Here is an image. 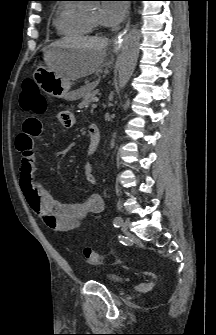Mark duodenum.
<instances>
[{
    "label": "duodenum",
    "instance_id": "duodenum-1",
    "mask_svg": "<svg viewBox=\"0 0 216 335\" xmlns=\"http://www.w3.org/2000/svg\"><path fill=\"white\" fill-rule=\"evenodd\" d=\"M89 135L91 140L99 141V129L96 124L93 123L89 126Z\"/></svg>",
    "mask_w": 216,
    "mask_h": 335
}]
</instances>
